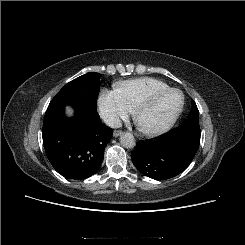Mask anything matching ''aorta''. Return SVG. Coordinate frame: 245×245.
<instances>
[{
    "label": "aorta",
    "mask_w": 245,
    "mask_h": 245,
    "mask_svg": "<svg viewBox=\"0 0 245 245\" xmlns=\"http://www.w3.org/2000/svg\"><path fill=\"white\" fill-rule=\"evenodd\" d=\"M120 144L124 148H133L136 145L135 138L129 132L123 133L120 137Z\"/></svg>",
    "instance_id": "762f6f07"
}]
</instances>
